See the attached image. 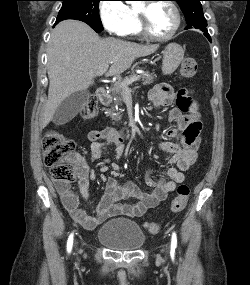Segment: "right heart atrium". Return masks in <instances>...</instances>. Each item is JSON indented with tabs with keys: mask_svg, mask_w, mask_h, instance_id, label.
<instances>
[{
	"mask_svg": "<svg viewBox=\"0 0 250 285\" xmlns=\"http://www.w3.org/2000/svg\"><path fill=\"white\" fill-rule=\"evenodd\" d=\"M99 14L104 28L116 35H124L131 23L130 8L122 0H104Z\"/></svg>",
	"mask_w": 250,
	"mask_h": 285,
	"instance_id": "right-heart-atrium-1",
	"label": "right heart atrium"
}]
</instances>
